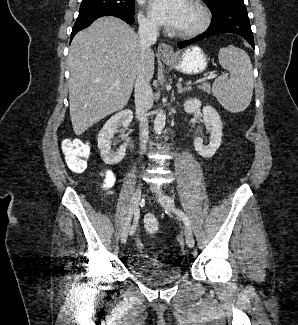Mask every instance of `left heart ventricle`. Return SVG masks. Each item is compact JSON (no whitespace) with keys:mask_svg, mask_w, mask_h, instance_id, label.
I'll return each instance as SVG.
<instances>
[{"mask_svg":"<svg viewBox=\"0 0 298 325\" xmlns=\"http://www.w3.org/2000/svg\"><path fill=\"white\" fill-rule=\"evenodd\" d=\"M197 23V15L192 7L185 2L180 23L177 27L172 28L174 32H183L193 28Z\"/></svg>","mask_w":298,"mask_h":325,"instance_id":"b2bd125f","label":"left heart ventricle"}]
</instances>
